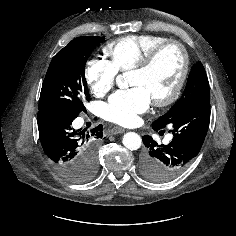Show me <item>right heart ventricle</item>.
<instances>
[{
  "label": "right heart ventricle",
  "instance_id": "obj_1",
  "mask_svg": "<svg viewBox=\"0 0 236 236\" xmlns=\"http://www.w3.org/2000/svg\"><path fill=\"white\" fill-rule=\"evenodd\" d=\"M169 39L158 34L128 35L108 43L104 52L117 71H126L137 65L153 47Z\"/></svg>",
  "mask_w": 236,
  "mask_h": 236
}]
</instances>
